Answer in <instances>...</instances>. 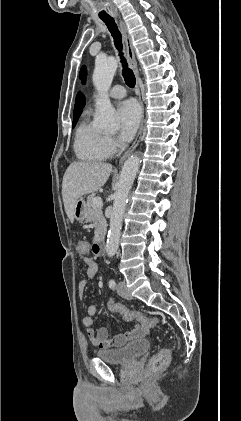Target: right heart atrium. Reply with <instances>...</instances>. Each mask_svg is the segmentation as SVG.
Masks as SVG:
<instances>
[{"label": "right heart atrium", "instance_id": "1", "mask_svg": "<svg viewBox=\"0 0 241 421\" xmlns=\"http://www.w3.org/2000/svg\"><path fill=\"white\" fill-rule=\"evenodd\" d=\"M105 143L110 154H113L118 148L117 140L111 135L105 136Z\"/></svg>", "mask_w": 241, "mask_h": 421}]
</instances>
